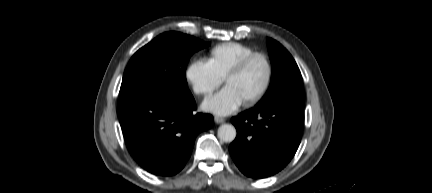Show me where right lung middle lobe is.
I'll return each mask as SVG.
<instances>
[{
  "label": "right lung middle lobe",
  "mask_w": 432,
  "mask_h": 193,
  "mask_svg": "<svg viewBox=\"0 0 432 193\" xmlns=\"http://www.w3.org/2000/svg\"><path fill=\"white\" fill-rule=\"evenodd\" d=\"M208 45L179 32L157 36L130 59L122 79L120 100L145 91L173 98L191 96L186 81V66L194 52Z\"/></svg>",
  "instance_id": "1"
}]
</instances>
